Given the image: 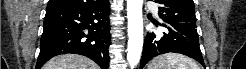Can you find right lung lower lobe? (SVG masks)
I'll return each instance as SVG.
<instances>
[{"mask_svg":"<svg viewBox=\"0 0 246 69\" xmlns=\"http://www.w3.org/2000/svg\"><path fill=\"white\" fill-rule=\"evenodd\" d=\"M109 0L90 6H60L46 9L36 69L50 58L76 53L109 66Z\"/></svg>","mask_w":246,"mask_h":69,"instance_id":"obj_1","label":"right lung lower lobe"}]
</instances>
